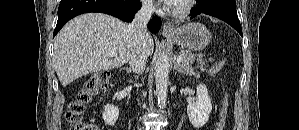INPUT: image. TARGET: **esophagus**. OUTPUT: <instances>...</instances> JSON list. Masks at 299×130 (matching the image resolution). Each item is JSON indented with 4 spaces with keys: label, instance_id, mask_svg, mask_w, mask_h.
Instances as JSON below:
<instances>
[{
    "label": "esophagus",
    "instance_id": "1",
    "mask_svg": "<svg viewBox=\"0 0 299 130\" xmlns=\"http://www.w3.org/2000/svg\"><path fill=\"white\" fill-rule=\"evenodd\" d=\"M173 30H174L173 22L168 21V22L164 23L163 28H162L163 34H171V33H173Z\"/></svg>",
    "mask_w": 299,
    "mask_h": 130
}]
</instances>
